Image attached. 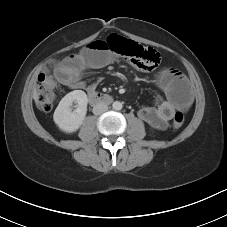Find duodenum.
Returning a JSON list of instances; mask_svg holds the SVG:
<instances>
[{"instance_id": "1", "label": "duodenum", "mask_w": 227, "mask_h": 227, "mask_svg": "<svg viewBox=\"0 0 227 227\" xmlns=\"http://www.w3.org/2000/svg\"><path fill=\"white\" fill-rule=\"evenodd\" d=\"M89 100L92 104H108L112 102V97L108 94L91 92L89 93Z\"/></svg>"}]
</instances>
